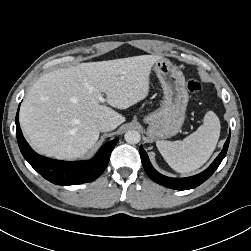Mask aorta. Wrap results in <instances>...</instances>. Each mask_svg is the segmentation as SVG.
<instances>
[{
	"instance_id": "762f6f07",
	"label": "aorta",
	"mask_w": 251,
	"mask_h": 251,
	"mask_svg": "<svg viewBox=\"0 0 251 251\" xmlns=\"http://www.w3.org/2000/svg\"><path fill=\"white\" fill-rule=\"evenodd\" d=\"M124 139L129 144H137L141 140V135L136 130H129L125 133Z\"/></svg>"
}]
</instances>
